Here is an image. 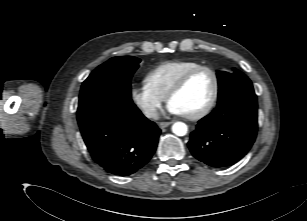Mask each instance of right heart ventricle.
<instances>
[{"instance_id": "e07e8e85", "label": "right heart ventricle", "mask_w": 307, "mask_h": 221, "mask_svg": "<svg viewBox=\"0 0 307 221\" xmlns=\"http://www.w3.org/2000/svg\"><path fill=\"white\" fill-rule=\"evenodd\" d=\"M201 65L191 60L163 62L152 68L144 77V84L158 96L165 98L174 83L188 70Z\"/></svg>"}]
</instances>
